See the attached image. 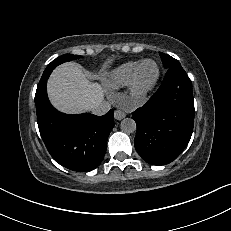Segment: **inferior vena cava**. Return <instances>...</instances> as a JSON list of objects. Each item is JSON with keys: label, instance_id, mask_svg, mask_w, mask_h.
<instances>
[{"label": "inferior vena cava", "instance_id": "602c4592", "mask_svg": "<svg viewBox=\"0 0 231 231\" xmlns=\"http://www.w3.org/2000/svg\"><path fill=\"white\" fill-rule=\"evenodd\" d=\"M111 109V104L107 101H103L91 107V112L95 115L101 116L106 114Z\"/></svg>", "mask_w": 231, "mask_h": 231}]
</instances>
